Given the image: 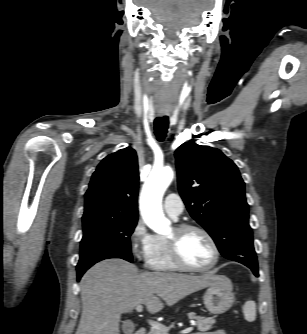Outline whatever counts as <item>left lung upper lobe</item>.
<instances>
[{
  "mask_svg": "<svg viewBox=\"0 0 307 334\" xmlns=\"http://www.w3.org/2000/svg\"><path fill=\"white\" fill-rule=\"evenodd\" d=\"M178 187L190 215L210 234L220 253L256 264L245 183L219 149L186 142L176 151Z\"/></svg>",
  "mask_w": 307,
  "mask_h": 334,
  "instance_id": "obj_1",
  "label": "left lung upper lobe"
}]
</instances>
